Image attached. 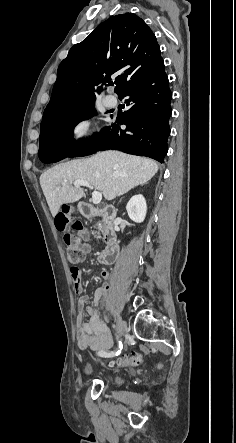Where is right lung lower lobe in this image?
I'll use <instances>...</instances> for the list:
<instances>
[{
	"label": "right lung lower lobe",
	"instance_id": "right-lung-lower-lobe-1",
	"mask_svg": "<svg viewBox=\"0 0 236 443\" xmlns=\"http://www.w3.org/2000/svg\"><path fill=\"white\" fill-rule=\"evenodd\" d=\"M161 58L149 71L133 80L118 96L126 97L131 107L111 127L104 128L85 142L53 145L39 149L44 163L66 157L86 156L100 150L115 149L129 154L147 156L163 163L170 135L169 118L172 93ZM121 125H126L122 130ZM111 129V131H110Z\"/></svg>",
	"mask_w": 236,
	"mask_h": 443
}]
</instances>
